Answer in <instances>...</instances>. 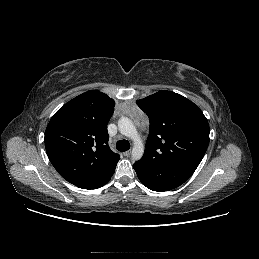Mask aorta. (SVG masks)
Wrapping results in <instances>:
<instances>
[{"mask_svg":"<svg viewBox=\"0 0 259 259\" xmlns=\"http://www.w3.org/2000/svg\"><path fill=\"white\" fill-rule=\"evenodd\" d=\"M118 128L121 134L133 140L132 158L139 160L144 153V145L132 120L121 117L118 121Z\"/></svg>","mask_w":259,"mask_h":259,"instance_id":"762f6f07","label":"aorta"}]
</instances>
